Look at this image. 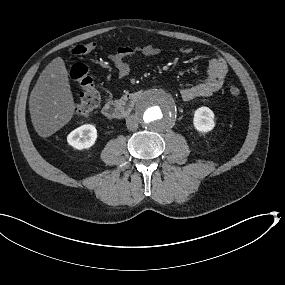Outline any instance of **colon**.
Segmentation results:
<instances>
[{"label":"colon","mask_w":285,"mask_h":285,"mask_svg":"<svg viewBox=\"0 0 285 285\" xmlns=\"http://www.w3.org/2000/svg\"><path fill=\"white\" fill-rule=\"evenodd\" d=\"M95 48L96 43L89 42L74 46L71 52L74 56H84L92 52ZM70 77L80 87L76 112L80 116L87 117L101 105V94L97 89L95 81L85 64H74L70 71ZM229 93L232 96L237 97L240 95L241 91L239 87L233 85L229 88Z\"/></svg>","instance_id":"colon-1"}]
</instances>
